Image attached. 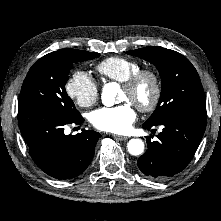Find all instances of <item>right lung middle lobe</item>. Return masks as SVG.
<instances>
[{
    "label": "right lung middle lobe",
    "instance_id": "obj_1",
    "mask_svg": "<svg viewBox=\"0 0 221 221\" xmlns=\"http://www.w3.org/2000/svg\"><path fill=\"white\" fill-rule=\"evenodd\" d=\"M99 54L75 49H61L39 59L29 70L20 93L18 110L37 107L65 118L80 117L67 95L65 84L73 62L91 60Z\"/></svg>",
    "mask_w": 221,
    "mask_h": 221
}]
</instances>
